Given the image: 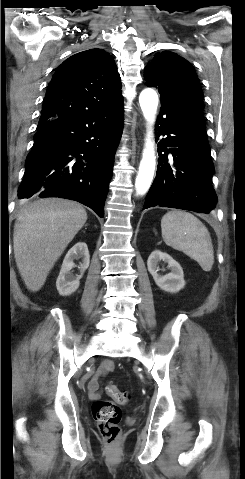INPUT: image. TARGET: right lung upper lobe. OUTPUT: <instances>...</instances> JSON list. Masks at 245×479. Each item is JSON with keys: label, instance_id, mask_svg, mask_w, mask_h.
<instances>
[{"label": "right lung upper lobe", "instance_id": "cb5924a9", "mask_svg": "<svg viewBox=\"0 0 245 479\" xmlns=\"http://www.w3.org/2000/svg\"><path fill=\"white\" fill-rule=\"evenodd\" d=\"M121 78L113 57L102 49L79 52L55 71L38 128L82 112L122 106Z\"/></svg>", "mask_w": 245, "mask_h": 479}]
</instances>
